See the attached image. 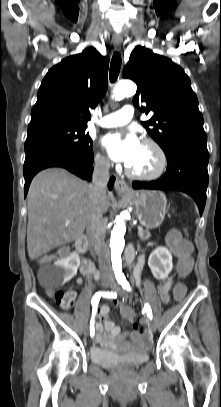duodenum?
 Wrapping results in <instances>:
<instances>
[{
	"label": "duodenum",
	"mask_w": 221,
	"mask_h": 407,
	"mask_svg": "<svg viewBox=\"0 0 221 407\" xmlns=\"http://www.w3.org/2000/svg\"><path fill=\"white\" fill-rule=\"evenodd\" d=\"M76 248L80 254V270L85 275H94L96 278L98 277V272L95 269L93 262L85 257V252L87 250V239L85 236H80L76 240ZM133 253L131 250L127 253V259L130 261L132 260Z\"/></svg>",
	"instance_id": "obj_1"
}]
</instances>
